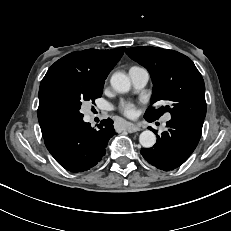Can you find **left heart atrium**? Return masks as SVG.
<instances>
[{"mask_svg":"<svg viewBox=\"0 0 231 231\" xmlns=\"http://www.w3.org/2000/svg\"><path fill=\"white\" fill-rule=\"evenodd\" d=\"M120 110L123 112L124 115L128 117H133L135 115V106L129 102H123L120 105Z\"/></svg>","mask_w":231,"mask_h":231,"instance_id":"39dd6f15","label":"left heart atrium"}]
</instances>
